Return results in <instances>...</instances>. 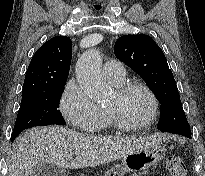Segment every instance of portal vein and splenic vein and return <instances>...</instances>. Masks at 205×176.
<instances>
[{"mask_svg": "<svg viewBox=\"0 0 205 176\" xmlns=\"http://www.w3.org/2000/svg\"><path fill=\"white\" fill-rule=\"evenodd\" d=\"M66 161L71 160L72 159V153H69L65 156Z\"/></svg>", "mask_w": 205, "mask_h": 176, "instance_id": "18ae733b", "label": "portal vein and splenic vein"}]
</instances>
